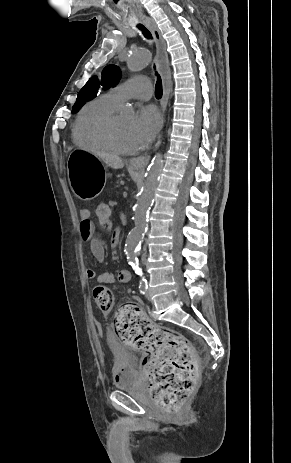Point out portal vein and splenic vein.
I'll list each match as a JSON object with an SVG mask.
<instances>
[{
  "instance_id": "18ae733b",
  "label": "portal vein and splenic vein",
  "mask_w": 291,
  "mask_h": 463,
  "mask_svg": "<svg viewBox=\"0 0 291 463\" xmlns=\"http://www.w3.org/2000/svg\"><path fill=\"white\" fill-rule=\"evenodd\" d=\"M123 196H124V197L127 196V192H126V191L123 192Z\"/></svg>"
}]
</instances>
